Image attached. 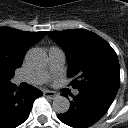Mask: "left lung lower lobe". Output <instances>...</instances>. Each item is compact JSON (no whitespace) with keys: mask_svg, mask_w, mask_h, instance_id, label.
I'll use <instances>...</instances> for the list:
<instances>
[{"mask_svg":"<svg viewBox=\"0 0 128 128\" xmlns=\"http://www.w3.org/2000/svg\"><path fill=\"white\" fill-rule=\"evenodd\" d=\"M117 91L118 88L105 85L80 89L77 96H72L69 110L58 118L73 128H88L107 112Z\"/></svg>","mask_w":128,"mask_h":128,"instance_id":"1","label":"left lung lower lobe"}]
</instances>
